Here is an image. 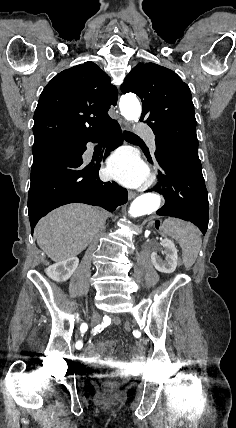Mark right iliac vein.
I'll list each match as a JSON object with an SVG mask.
<instances>
[{
	"label": "right iliac vein",
	"mask_w": 236,
	"mask_h": 428,
	"mask_svg": "<svg viewBox=\"0 0 236 428\" xmlns=\"http://www.w3.org/2000/svg\"><path fill=\"white\" fill-rule=\"evenodd\" d=\"M92 318L95 320L97 317L94 315Z\"/></svg>",
	"instance_id": "1"
}]
</instances>
